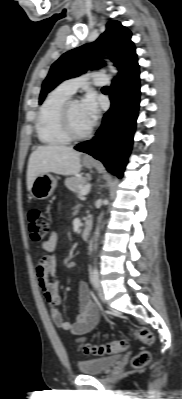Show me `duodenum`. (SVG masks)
Returning <instances> with one entry per match:
<instances>
[{"label":"duodenum","mask_w":182,"mask_h":399,"mask_svg":"<svg viewBox=\"0 0 182 399\" xmlns=\"http://www.w3.org/2000/svg\"><path fill=\"white\" fill-rule=\"evenodd\" d=\"M91 230H92V220L91 219H87L82 227L81 230V237L84 240H88L91 234Z\"/></svg>","instance_id":"1"}]
</instances>
